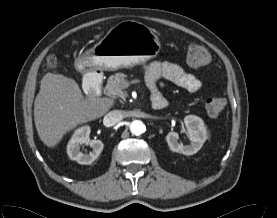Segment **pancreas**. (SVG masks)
I'll list each match as a JSON object with an SVG mask.
<instances>
[{"mask_svg": "<svg viewBox=\"0 0 277 218\" xmlns=\"http://www.w3.org/2000/svg\"><path fill=\"white\" fill-rule=\"evenodd\" d=\"M126 75L124 73H116L108 78L107 85L105 87L106 94L112 97H125L123 91L126 87Z\"/></svg>", "mask_w": 277, "mask_h": 218, "instance_id": "1", "label": "pancreas"}]
</instances>
